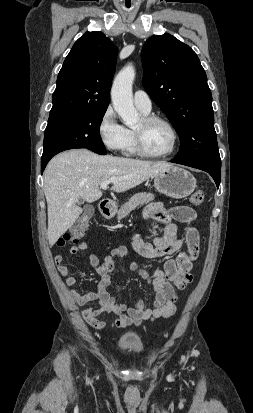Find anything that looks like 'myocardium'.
I'll return each mask as SVG.
<instances>
[{"label": "myocardium", "instance_id": "f54148a6", "mask_svg": "<svg viewBox=\"0 0 253 413\" xmlns=\"http://www.w3.org/2000/svg\"><path fill=\"white\" fill-rule=\"evenodd\" d=\"M142 120L146 125L155 122H161L165 124L170 129L173 136V140L172 145L168 151L163 153H153L147 149L142 131L134 129L133 131L135 136L137 152L140 155L148 158H164L174 153L179 143V133L174 124L168 118L159 115H146L142 118Z\"/></svg>", "mask_w": 253, "mask_h": 413}]
</instances>
